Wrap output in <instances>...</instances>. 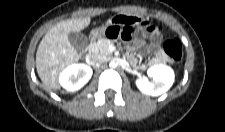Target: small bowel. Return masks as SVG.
Returning a JSON list of instances; mask_svg holds the SVG:
<instances>
[{"label": "small bowel", "instance_id": "1", "mask_svg": "<svg viewBox=\"0 0 225 132\" xmlns=\"http://www.w3.org/2000/svg\"><path fill=\"white\" fill-rule=\"evenodd\" d=\"M116 25L139 27L140 30L142 28H145V30L151 34L152 41L149 45L145 44L142 41L143 34L139 32L136 37V42L133 45L129 46L128 59L134 68L142 69V66L140 65L138 59L135 57L136 53L143 55L151 54L152 58L150 62L152 65H158L170 61V58L165 53L164 49L159 47V42L162 37L161 34L148 21L133 16H121Z\"/></svg>", "mask_w": 225, "mask_h": 132}]
</instances>
